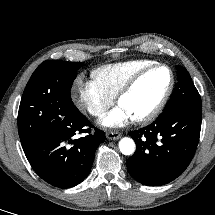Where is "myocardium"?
I'll return each instance as SVG.
<instances>
[{
	"instance_id": "f54148a6",
	"label": "myocardium",
	"mask_w": 215,
	"mask_h": 215,
	"mask_svg": "<svg viewBox=\"0 0 215 215\" xmlns=\"http://www.w3.org/2000/svg\"><path fill=\"white\" fill-rule=\"evenodd\" d=\"M157 68H165L168 70L170 74V82L169 85L163 94L162 98L160 101L157 103V105L146 115L134 118V122L138 124H147L153 121L155 118L159 116V114L163 111L165 106L167 105L172 92L174 90L175 86V75L173 70L171 69L170 66L164 64V63H153L140 71H138L136 74H134L125 84L124 86L119 90L118 94L116 95V101L119 103L126 95H128L134 88L135 86L140 82V80L146 76L149 72H151L154 69Z\"/></svg>"
}]
</instances>
